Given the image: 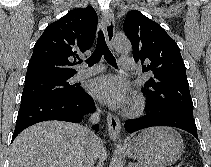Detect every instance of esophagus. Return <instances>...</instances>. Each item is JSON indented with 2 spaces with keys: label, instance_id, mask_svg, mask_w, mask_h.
<instances>
[{
  "label": "esophagus",
  "instance_id": "1",
  "mask_svg": "<svg viewBox=\"0 0 211 167\" xmlns=\"http://www.w3.org/2000/svg\"><path fill=\"white\" fill-rule=\"evenodd\" d=\"M114 35H115L114 14L110 10L106 15L105 36L107 44L112 50H113ZM107 126L110 138L112 140L118 139L121 128L120 120L110 112L107 113Z\"/></svg>",
  "mask_w": 211,
  "mask_h": 167
}]
</instances>
